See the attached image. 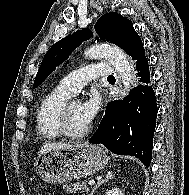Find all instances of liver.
Returning <instances> with one entry per match:
<instances>
[{"label": "liver", "mask_w": 189, "mask_h": 195, "mask_svg": "<svg viewBox=\"0 0 189 195\" xmlns=\"http://www.w3.org/2000/svg\"><path fill=\"white\" fill-rule=\"evenodd\" d=\"M85 144H65V143H57V142H47L41 146L39 149V156L42 154L56 151V150H66V149H74L84 146Z\"/></svg>", "instance_id": "6515ba94"}]
</instances>
